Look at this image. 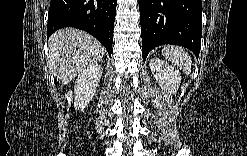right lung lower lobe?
<instances>
[{"instance_id":"1","label":"right lung lower lobe","mask_w":247,"mask_h":156,"mask_svg":"<svg viewBox=\"0 0 247 156\" xmlns=\"http://www.w3.org/2000/svg\"><path fill=\"white\" fill-rule=\"evenodd\" d=\"M117 0H51L47 38L56 30L74 27L94 36L111 56Z\"/></svg>"}]
</instances>
